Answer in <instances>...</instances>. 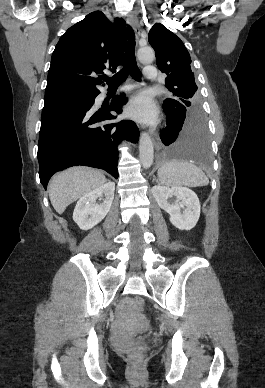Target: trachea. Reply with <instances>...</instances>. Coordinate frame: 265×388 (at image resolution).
I'll return each mask as SVG.
<instances>
[{"label": "trachea", "mask_w": 265, "mask_h": 388, "mask_svg": "<svg viewBox=\"0 0 265 388\" xmlns=\"http://www.w3.org/2000/svg\"><path fill=\"white\" fill-rule=\"evenodd\" d=\"M128 43L126 46V52L124 57V65L120 72L113 75L111 78H107L105 81L109 86L120 85L127 76L130 74L135 80L141 78L140 70L136 63L135 57V35L132 28L128 27Z\"/></svg>", "instance_id": "3493384b"}]
</instances>
